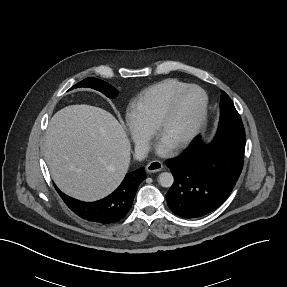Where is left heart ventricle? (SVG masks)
<instances>
[{"label": "left heart ventricle", "mask_w": 287, "mask_h": 287, "mask_svg": "<svg viewBox=\"0 0 287 287\" xmlns=\"http://www.w3.org/2000/svg\"><path fill=\"white\" fill-rule=\"evenodd\" d=\"M201 102L202 96L198 91H189L179 99L162 133L163 145H173L188 133L198 118Z\"/></svg>", "instance_id": "1"}]
</instances>
